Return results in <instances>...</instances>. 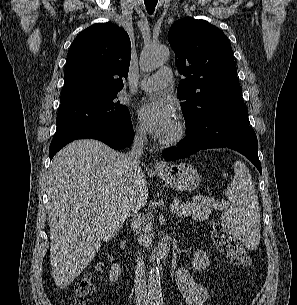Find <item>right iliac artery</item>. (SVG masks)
Wrapping results in <instances>:
<instances>
[{"mask_svg":"<svg viewBox=\"0 0 297 305\" xmlns=\"http://www.w3.org/2000/svg\"><path fill=\"white\" fill-rule=\"evenodd\" d=\"M152 300H153V299H152V298H150V299L148 300V302H150V303L152 304Z\"/></svg>","mask_w":297,"mask_h":305,"instance_id":"1","label":"right iliac artery"}]
</instances>
